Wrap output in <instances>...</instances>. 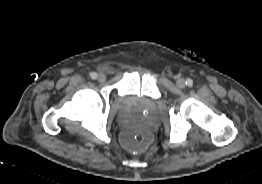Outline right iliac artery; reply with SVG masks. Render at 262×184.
<instances>
[{
    "label": "right iliac artery",
    "instance_id": "right-iliac-artery-1",
    "mask_svg": "<svg viewBox=\"0 0 262 184\" xmlns=\"http://www.w3.org/2000/svg\"><path fill=\"white\" fill-rule=\"evenodd\" d=\"M90 77H91L92 79H96V78H97V73L92 72V73L90 74Z\"/></svg>",
    "mask_w": 262,
    "mask_h": 184
}]
</instances>
